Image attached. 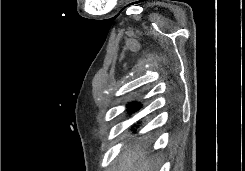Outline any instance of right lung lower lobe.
Wrapping results in <instances>:
<instances>
[{"mask_svg":"<svg viewBox=\"0 0 245 171\" xmlns=\"http://www.w3.org/2000/svg\"><path fill=\"white\" fill-rule=\"evenodd\" d=\"M139 107H140V105H139L138 103H132V104L129 106L128 109L130 110V112H133V111H135V110H138Z\"/></svg>","mask_w":245,"mask_h":171,"instance_id":"1","label":"right lung lower lobe"}]
</instances>
